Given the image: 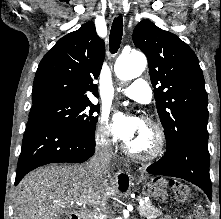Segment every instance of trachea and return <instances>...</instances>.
I'll return each instance as SVG.
<instances>
[{
	"label": "trachea",
	"mask_w": 221,
	"mask_h": 219,
	"mask_svg": "<svg viewBox=\"0 0 221 219\" xmlns=\"http://www.w3.org/2000/svg\"><path fill=\"white\" fill-rule=\"evenodd\" d=\"M123 35V19L122 16L119 15L115 17L111 26L110 35H109V47L110 52L115 54L121 44Z\"/></svg>",
	"instance_id": "trachea-1"
}]
</instances>
